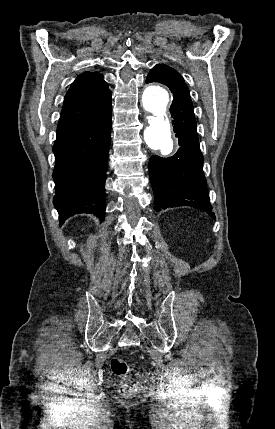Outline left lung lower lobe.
I'll return each instance as SVG.
<instances>
[{"label": "left lung lower lobe", "mask_w": 275, "mask_h": 429, "mask_svg": "<svg viewBox=\"0 0 275 429\" xmlns=\"http://www.w3.org/2000/svg\"><path fill=\"white\" fill-rule=\"evenodd\" d=\"M150 82L164 84L173 93L170 112L180 145L171 157L153 155L150 158L149 175L155 195L154 209L160 211L169 207L191 206L215 218L203 173L204 158L199 148L189 89L179 73L162 66L152 68L146 79V83Z\"/></svg>", "instance_id": "obj_1"}]
</instances>
